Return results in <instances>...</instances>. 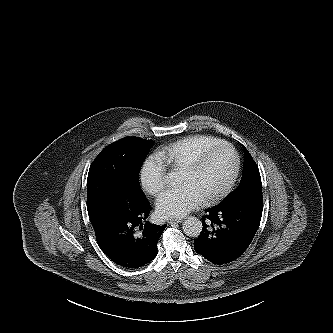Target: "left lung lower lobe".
<instances>
[{
    "label": "left lung lower lobe",
    "mask_w": 333,
    "mask_h": 333,
    "mask_svg": "<svg viewBox=\"0 0 333 333\" xmlns=\"http://www.w3.org/2000/svg\"><path fill=\"white\" fill-rule=\"evenodd\" d=\"M262 192L246 194L227 204L206 209L195 251L213 264L239 258L252 242L262 216Z\"/></svg>",
    "instance_id": "1"
}]
</instances>
